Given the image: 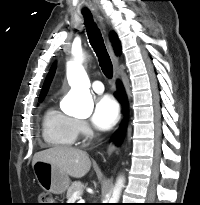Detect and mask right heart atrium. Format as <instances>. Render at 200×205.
<instances>
[{
  "mask_svg": "<svg viewBox=\"0 0 200 205\" xmlns=\"http://www.w3.org/2000/svg\"><path fill=\"white\" fill-rule=\"evenodd\" d=\"M76 129L77 133L85 138H88L92 135V130L87 124V122L83 120H77L76 121Z\"/></svg>",
  "mask_w": 200,
  "mask_h": 205,
  "instance_id": "1",
  "label": "right heart atrium"
}]
</instances>
